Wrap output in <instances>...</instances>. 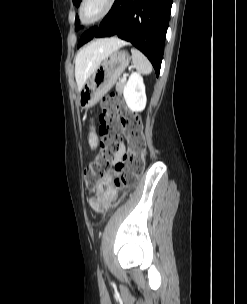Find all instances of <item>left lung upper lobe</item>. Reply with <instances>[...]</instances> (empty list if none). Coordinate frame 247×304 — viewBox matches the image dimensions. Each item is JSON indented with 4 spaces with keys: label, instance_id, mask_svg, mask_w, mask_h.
I'll list each match as a JSON object with an SVG mask.
<instances>
[{
    "label": "left lung upper lobe",
    "instance_id": "5c2ea615",
    "mask_svg": "<svg viewBox=\"0 0 247 304\" xmlns=\"http://www.w3.org/2000/svg\"><path fill=\"white\" fill-rule=\"evenodd\" d=\"M80 2H81V0H73V3H74L76 6H78ZM75 24H76V29L78 30V29L80 28L78 17L76 18V23H75Z\"/></svg>",
    "mask_w": 247,
    "mask_h": 304
}]
</instances>
